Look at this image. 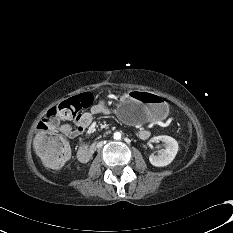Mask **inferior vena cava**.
I'll list each match as a JSON object with an SVG mask.
<instances>
[{
	"mask_svg": "<svg viewBox=\"0 0 233 233\" xmlns=\"http://www.w3.org/2000/svg\"><path fill=\"white\" fill-rule=\"evenodd\" d=\"M98 145H99V146H102L103 144H102V142H100Z\"/></svg>",
	"mask_w": 233,
	"mask_h": 233,
	"instance_id": "inferior-vena-cava-1",
	"label": "inferior vena cava"
}]
</instances>
